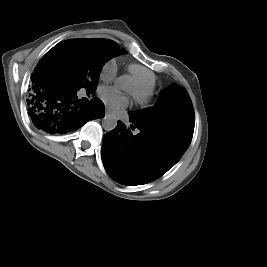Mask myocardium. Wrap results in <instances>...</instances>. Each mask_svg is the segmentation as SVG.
<instances>
[{"mask_svg":"<svg viewBox=\"0 0 267 267\" xmlns=\"http://www.w3.org/2000/svg\"><path fill=\"white\" fill-rule=\"evenodd\" d=\"M132 93H133L134 98L138 102H145L148 99L149 95H150L143 88H141L138 85H136L134 82H133V85H132Z\"/></svg>","mask_w":267,"mask_h":267,"instance_id":"f54148a6","label":"myocardium"}]
</instances>
